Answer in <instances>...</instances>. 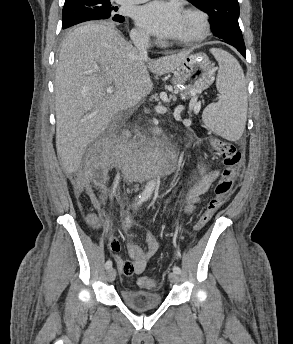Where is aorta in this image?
I'll list each match as a JSON object with an SVG mask.
<instances>
[{
  "label": "aorta",
  "instance_id": "762f6f07",
  "mask_svg": "<svg viewBox=\"0 0 293 344\" xmlns=\"http://www.w3.org/2000/svg\"><path fill=\"white\" fill-rule=\"evenodd\" d=\"M155 186H156V180L155 179L150 180L149 182H147L143 193L146 196H151L155 189Z\"/></svg>",
  "mask_w": 293,
  "mask_h": 344
}]
</instances>
